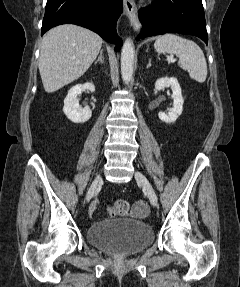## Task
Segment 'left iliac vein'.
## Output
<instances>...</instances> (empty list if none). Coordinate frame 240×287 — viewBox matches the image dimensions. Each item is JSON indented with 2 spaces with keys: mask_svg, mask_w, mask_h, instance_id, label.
Instances as JSON below:
<instances>
[{
  "mask_svg": "<svg viewBox=\"0 0 240 287\" xmlns=\"http://www.w3.org/2000/svg\"><path fill=\"white\" fill-rule=\"evenodd\" d=\"M135 178L143 186V189H144L145 193L147 194L151 204L153 206H157V204H158L157 195H156L155 190L153 189L152 185L150 184V182L146 178V176L143 175L141 172L136 171Z\"/></svg>",
  "mask_w": 240,
  "mask_h": 287,
  "instance_id": "1",
  "label": "left iliac vein"
}]
</instances>
